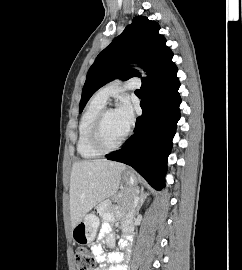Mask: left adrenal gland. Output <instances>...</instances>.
Segmentation results:
<instances>
[{"label": "left adrenal gland", "mask_w": 242, "mask_h": 270, "mask_svg": "<svg viewBox=\"0 0 242 270\" xmlns=\"http://www.w3.org/2000/svg\"><path fill=\"white\" fill-rule=\"evenodd\" d=\"M148 194L147 193H144L143 190H141L139 196H138V201H137V205H136V208H135V214L137 215L139 213V209L141 208L146 196Z\"/></svg>", "instance_id": "1"}]
</instances>
